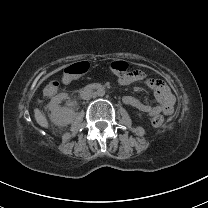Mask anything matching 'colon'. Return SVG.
Masks as SVG:
<instances>
[{
	"label": "colon",
	"mask_w": 208,
	"mask_h": 208,
	"mask_svg": "<svg viewBox=\"0 0 208 208\" xmlns=\"http://www.w3.org/2000/svg\"><path fill=\"white\" fill-rule=\"evenodd\" d=\"M91 69V66L87 62H83L81 64H70L65 67L64 69V77L63 79L65 81H68L72 78H75L76 75H81L83 73L89 72ZM109 71H111L113 74L119 75L121 78L126 76V72L128 70V64L127 62L123 60H113L108 65ZM50 89L53 88L52 85L48 86ZM151 124L155 128H160L164 125V118L163 116L157 115L151 119Z\"/></svg>",
	"instance_id": "colon-1"
}]
</instances>
